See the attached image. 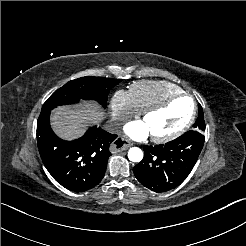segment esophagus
<instances>
[{
	"label": "esophagus",
	"instance_id": "esophagus-1",
	"mask_svg": "<svg viewBox=\"0 0 246 246\" xmlns=\"http://www.w3.org/2000/svg\"><path fill=\"white\" fill-rule=\"evenodd\" d=\"M131 146H132V143H130L128 140H126L124 138H117L112 142V144L110 146V151L112 153H118V152H121V151L128 149Z\"/></svg>",
	"mask_w": 246,
	"mask_h": 246
}]
</instances>
